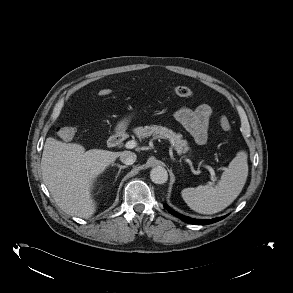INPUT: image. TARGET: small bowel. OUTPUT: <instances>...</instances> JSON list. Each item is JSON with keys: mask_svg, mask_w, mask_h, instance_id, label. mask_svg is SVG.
I'll list each match as a JSON object with an SVG mask.
<instances>
[{"mask_svg": "<svg viewBox=\"0 0 293 293\" xmlns=\"http://www.w3.org/2000/svg\"><path fill=\"white\" fill-rule=\"evenodd\" d=\"M212 115V109L207 104H202L196 109L182 107L175 114V120L193 137L199 145L206 143L208 138V124Z\"/></svg>", "mask_w": 293, "mask_h": 293, "instance_id": "obj_1", "label": "small bowel"}]
</instances>
